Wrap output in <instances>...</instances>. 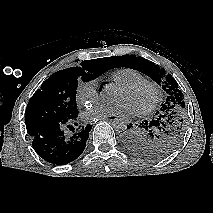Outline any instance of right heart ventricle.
Segmentation results:
<instances>
[{"label": "right heart ventricle", "instance_id": "1", "mask_svg": "<svg viewBox=\"0 0 213 213\" xmlns=\"http://www.w3.org/2000/svg\"><path fill=\"white\" fill-rule=\"evenodd\" d=\"M110 80L114 82L119 87L125 84H129L138 80L144 79V76L137 70L121 67L114 70L110 76Z\"/></svg>", "mask_w": 213, "mask_h": 213}]
</instances>
